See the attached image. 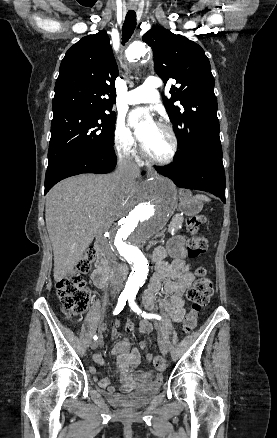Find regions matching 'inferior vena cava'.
Instances as JSON below:
<instances>
[{"mask_svg": "<svg viewBox=\"0 0 277 438\" xmlns=\"http://www.w3.org/2000/svg\"><path fill=\"white\" fill-rule=\"evenodd\" d=\"M115 184L118 188H130L133 186L135 178L140 176V168L135 164L133 156H118L117 170L114 174ZM117 264V262H113ZM122 284V278L120 274H115L113 280L114 290H119V286Z\"/></svg>", "mask_w": 277, "mask_h": 438, "instance_id": "obj_1", "label": "inferior vena cava"}]
</instances>
